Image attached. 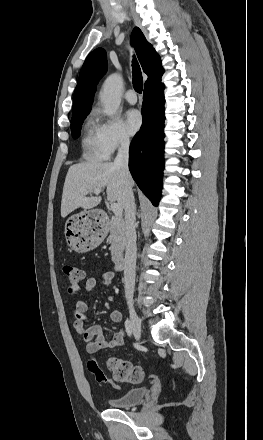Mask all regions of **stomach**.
<instances>
[{
  "instance_id": "0dacf381",
  "label": "stomach",
  "mask_w": 263,
  "mask_h": 440,
  "mask_svg": "<svg viewBox=\"0 0 263 440\" xmlns=\"http://www.w3.org/2000/svg\"><path fill=\"white\" fill-rule=\"evenodd\" d=\"M97 217V212L90 210L67 219L65 236L72 250L86 253L98 247L104 240L107 230L97 221Z\"/></svg>"
}]
</instances>
